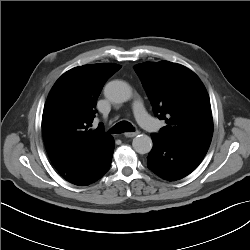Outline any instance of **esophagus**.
I'll return each mask as SVG.
<instances>
[{"instance_id":"esophagus-1","label":"esophagus","mask_w":250,"mask_h":250,"mask_svg":"<svg viewBox=\"0 0 250 250\" xmlns=\"http://www.w3.org/2000/svg\"><path fill=\"white\" fill-rule=\"evenodd\" d=\"M140 132L139 131H135V132H127L125 133L124 135L128 138H132V137H135L139 134Z\"/></svg>"}]
</instances>
